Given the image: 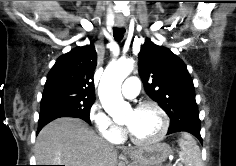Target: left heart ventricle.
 Here are the masks:
<instances>
[{
	"mask_svg": "<svg viewBox=\"0 0 236 166\" xmlns=\"http://www.w3.org/2000/svg\"><path fill=\"white\" fill-rule=\"evenodd\" d=\"M123 124L137 138L147 140L155 137L161 130V117L153 108L140 111H130L125 116Z\"/></svg>",
	"mask_w": 236,
	"mask_h": 166,
	"instance_id": "1",
	"label": "left heart ventricle"
}]
</instances>
